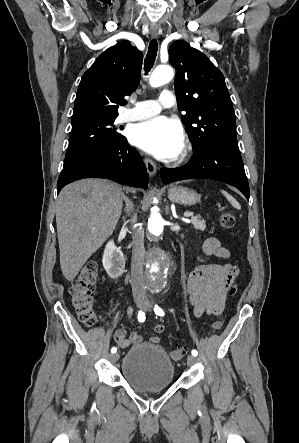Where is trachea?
Listing matches in <instances>:
<instances>
[{
	"mask_svg": "<svg viewBox=\"0 0 299 443\" xmlns=\"http://www.w3.org/2000/svg\"><path fill=\"white\" fill-rule=\"evenodd\" d=\"M157 51H158V43L156 39H153L149 44L148 52L144 62L145 74H147L153 67L157 56Z\"/></svg>",
	"mask_w": 299,
	"mask_h": 443,
	"instance_id": "obj_1",
	"label": "trachea"
}]
</instances>
